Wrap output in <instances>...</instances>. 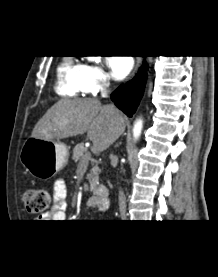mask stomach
Instances as JSON below:
<instances>
[{
	"mask_svg": "<svg viewBox=\"0 0 218 277\" xmlns=\"http://www.w3.org/2000/svg\"><path fill=\"white\" fill-rule=\"evenodd\" d=\"M19 158L32 176L47 179L67 164L69 152L60 141L30 137L24 142Z\"/></svg>",
	"mask_w": 218,
	"mask_h": 277,
	"instance_id": "obj_1",
	"label": "stomach"
}]
</instances>
